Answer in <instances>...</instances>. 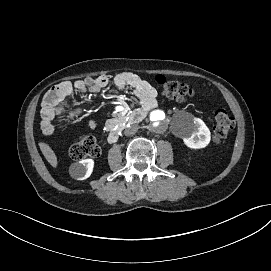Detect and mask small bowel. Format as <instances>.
I'll return each mask as SVG.
<instances>
[{
    "label": "small bowel",
    "instance_id": "c3829d8e",
    "mask_svg": "<svg viewBox=\"0 0 271 271\" xmlns=\"http://www.w3.org/2000/svg\"><path fill=\"white\" fill-rule=\"evenodd\" d=\"M113 83L119 90L129 89L131 93L139 99L142 106L151 109L157 105V91L147 81L132 72H122L117 74ZM110 84V78L106 75L98 77H87L75 82L65 81L52 87L44 96L42 101V130L46 135L55 133L54 121L64 113L66 100L74 95H86L88 93L98 94L105 90ZM83 112L81 106L71 110L67 118L77 119ZM96 123L90 121L89 128H94Z\"/></svg>",
    "mask_w": 271,
    "mask_h": 271
}]
</instances>
